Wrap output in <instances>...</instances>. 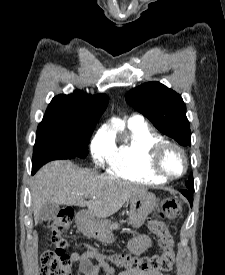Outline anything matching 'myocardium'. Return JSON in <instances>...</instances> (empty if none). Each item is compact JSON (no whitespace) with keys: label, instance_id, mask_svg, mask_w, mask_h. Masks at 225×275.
<instances>
[{"label":"myocardium","instance_id":"myocardium-1","mask_svg":"<svg viewBox=\"0 0 225 275\" xmlns=\"http://www.w3.org/2000/svg\"><path fill=\"white\" fill-rule=\"evenodd\" d=\"M169 150L177 151L183 161V168L180 173L174 174L166 170L164 166V158ZM150 168L158 176L163 179H176L183 176L188 169V159L184 149L177 143L171 141H163L152 148L150 153Z\"/></svg>","mask_w":225,"mask_h":275}]
</instances>
